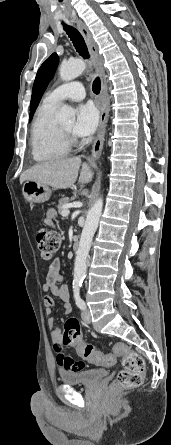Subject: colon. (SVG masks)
Segmentation results:
<instances>
[{"label":"colon","mask_w":171,"mask_h":445,"mask_svg":"<svg viewBox=\"0 0 171 445\" xmlns=\"http://www.w3.org/2000/svg\"><path fill=\"white\" fill-rule=\"evenodd\" d=\"M37 247L41 257L49 259L55 255L60 245V236L53 230L39 227L35 230ZM63 343L74 347L85 360L102 365L113 362V356L103 354L83 341L80 321L71 317L66 320L63 330ZM114 355L122 357L123 369L110 385L111 393H118L139 386L145 375V361L136 351L118 343L114 346Z\"/></svg>","instance_id":"1"}]
</instances>
